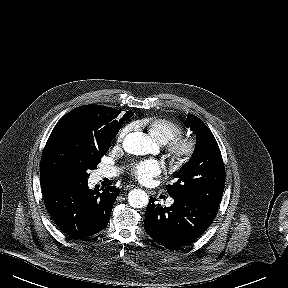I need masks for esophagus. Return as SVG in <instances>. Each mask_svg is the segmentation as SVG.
Masks as SVG:
<instances>
[{
    "label": "esophagus",
    "mask_w": 288,
    "mask_h": 288,
    "mask_svg": "<svg viewBox=\"0 0 288 288\" xmlns=\"http://www.w3.org/2000/svg\"><path fill=\"white\" fill-rule=\"evenodd\" d=\"M134 186H132V185H128V186H126L124 189L125 190H129V189H132Z\"/></svg>",
    "instance_id": "esophagus-1"
}]
</instances>
